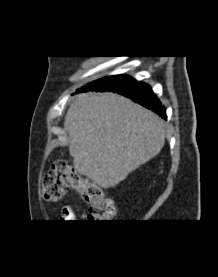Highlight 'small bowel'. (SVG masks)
Listing matches in <instances>:
<instances>
[{"label":"small bowel","mask_w":218,"mask_h":277,"mask_svg":"<svg viewBox=\"0 0 218 277\" xmlns=\"http://www.w3.org/2000/svg\"><path fill=\"white\" fill-rule=\"evenodd\" d=\"M75 219H76V216L71 206L67 205L61 209L60 220L62 222H74Z\"/></svg>","instance_id":"small-bowel-1"}]
</instances>
